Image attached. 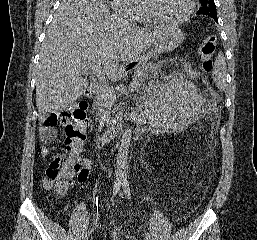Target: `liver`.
Listing matches in <instances>:
<instances>
[{
	"label": "liver",
	"instance_id": "obj_1",
	"mask_svg": "<svg viewBox=\"0 0 257 240\" xmlns=\"http://www.w3.org/2000/svg\"><path fill=\"white\" fill-rule=\"evenodd\" d=\"M164 29L136 28L111 13L102 0H63L40 51L36 77L40 119L60 112L86 91L85 63L100 59L106 76L119 80L126 64L139 59Z\"/></svg>",
	"mask_w": 257,
	"mask_h": 240
}]
</instances>
